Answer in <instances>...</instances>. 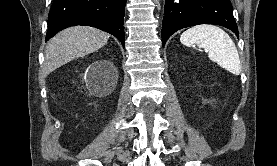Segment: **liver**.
<instances>
[{"label":"liver","instance_id":"obj_1","mask_svg":"<svg viewBox=\"0 0 277 166\" xmlns=\"http://www.w3.org/2000/svg\"><path fill=\"white\" fill-rule=\"evenodd\" d=\"M108 39V33L93 27L64 29L46 45L43 74L47 75L70 61L97 51L106 45Z\"/></svg>","mask_w":277,"mask_h":166}]
</instances>
